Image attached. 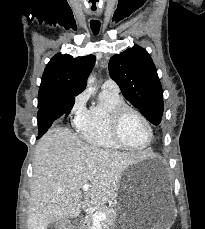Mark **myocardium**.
I'll return each instance as SVG.
<instances>
[{"mask_svg": "<svg viewBox=\"0 0 205 229\" xmlns=\"http://www.w3.org/2000/svg\"><path fill=\"white\" fill-rule=\"evenodd\" d=\"M128 113H133L136 116H138L143 121L145 126L147 127L149 136H148V140L146 144L143 145L142 147H131L127 145L121 137V132H120L121 124H122L124 117ZM110 131H111V135L114 141L121 148H124L129 151H134V152H141V151L146 150L151 145L153 136H154L152 125L149 122V120L146 118V116L143 113H141L138 109L131 107L129 105H126V104L120 105L112 110L111 116H110Z\"/></svg>", "mask_w": 205, "mask_h": 229, "instance_id": "myocardium-1", "label": "myocardium"}]
</instances>
